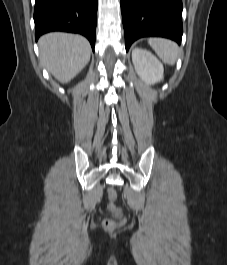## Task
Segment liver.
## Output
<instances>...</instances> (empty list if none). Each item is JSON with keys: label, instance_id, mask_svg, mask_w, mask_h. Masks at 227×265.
Wrapping results in <instances>:
<instances>
[{"label": "liver", "instance_id": "liver-1", "mask_svg": "<svg viewBox=\"0 0 227 265\" xmlns=\"http://www.w3.org/2000/svg\"><path fill=\"white\" fill-rule=\"evenodd\" d=\"M40 58L46 69L61 83L70 82L88 64L91 47L76 34L53 32L39 39Z\"/></svg>", "mask_w": 227, "mask_h": 265}]
</instances>
